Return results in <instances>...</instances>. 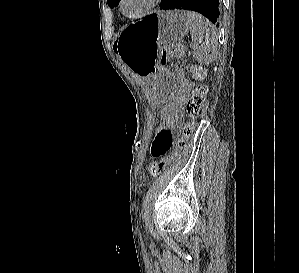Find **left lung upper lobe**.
<instances>
[{"label": "left lung upper lobe", "mask_w": 299, "mask_h": 273, "mask_svg": "<svg viewBox=\"0 0 299 273\" xmlns=\"http://www.w3.org/2000/svg\"><path fill=\"white\" fill-rule=\"evenodd\" d=\"M120 0H107L108 6L110 8L116 7L119 4Z\"/></svg>", "instance_id": "5c2ea615"}]
</instances>
